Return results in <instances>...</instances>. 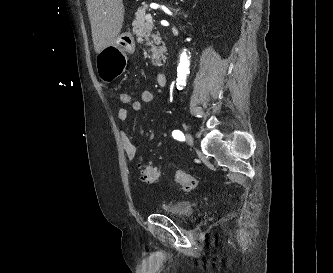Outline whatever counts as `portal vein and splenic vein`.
<instances>
[{"label":"portal vein and splenic vein","instance_id":"obj_1","mask_svg":"<svg viewBox=\"0 0 333 273\" xmlns=\"http://www.w3.org/2000/svg\"><path fill=\"white\" fill-rule=\"evenodd\" d=\"M146 21L150 24H153L152 16L150 14L146 15Z\"/></svg>","mask_w":333,"mask_h":273}]
</instances>
